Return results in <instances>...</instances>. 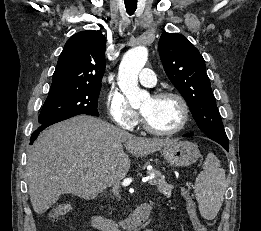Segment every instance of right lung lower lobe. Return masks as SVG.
Segmentation results:
<instances>
[{
  "label": "right lung lower lobe",
  "instance_id": "obj_1",
  "mask_svg": "<svg viewBox=\"0 0 261 231\" xmlns=\"http://www.w3.org/2000/svg\"><path fill=\"white\" fill-rule=\"evenodd\" d=\"M71 117H73V116H71ZM68 118H70V117H66V118H63V119H58V120H55V121H52V122H49V123H46V124L41 125L37 130H35V131L32 133L31 138H30V144H33L34 140L38 137V134H39L42 130H44L46 127H48V126H50V125H52V124H54V123H57V122H59V121L68 119Z\"/></svg>",
  "mask_w": 261,
  "mask_h": 231
}]
</instances>
